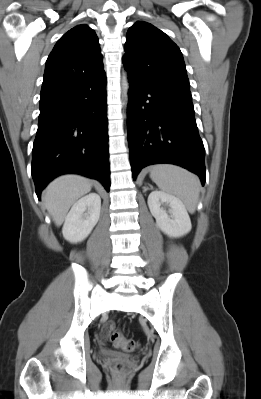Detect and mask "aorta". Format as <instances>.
<instances>
[{
  "label": "aorta",
  "instance_id": "1",
  "mask_svg": "<svg viewBox=\"0 0 261 399\" xmlns=\"http://www.w3.org/2000/svg\"><path fill=\"white\" fill-rule=\"evenodd\" d=\"M121 86H122L123 97L127 101V99H128V90H129V82H128V79H127V74L123 75Z\"/></svg>",
  "mask_w": 261,
  "mask_h": 399
}]
</instances>
